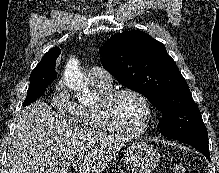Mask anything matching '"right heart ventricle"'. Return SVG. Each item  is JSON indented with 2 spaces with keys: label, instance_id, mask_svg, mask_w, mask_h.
<instances>
[{
  "label": "right heart ventricle",
  "instance_id": "e07e8e85",
  "mask_svg": "<svg viewBox=\"0 0 219 173\" xmlns=\"http://www.w3.org/2000/svg\"><path fill=\"white\" fill-rule=\"evenodd\" d=\"M92 85L98 96V101L90 105L82 104L77 106L76 121L80 126L90 131L97 133H112L101 115L99 106L101 99L113 90L112 84L92 82Z\"/></svg>",
  "mask_w": 219,
  "mask_h": 173
}]
</instances>
